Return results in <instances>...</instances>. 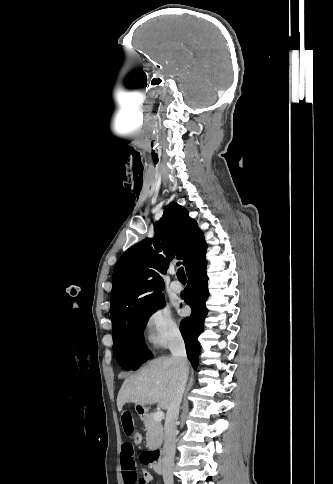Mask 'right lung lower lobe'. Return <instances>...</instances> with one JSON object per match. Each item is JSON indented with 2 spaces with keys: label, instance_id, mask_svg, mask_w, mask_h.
<instances>
[{
  "label": "right lung lower lobe",
  "instance_id": "1",
  "mask_svg": "<svg viewBox=\"0 0 333 484\" xmlns=\"http://www.w3.org/2000/svg\"><path fill=\"white\" fill-rule=\"evenodd\" d=\"M206 265L207 261L205 259L187 273L189 280L184 301L191 307L192 313L190 317L182 320L180 324L187 356L194 369H197L199 364L200 345L197 337L203 331L204 318L207 314L205 301L209 292L207 288Z\"/></svg>",
  "mask_w": 333,
  "mask_h": 484
}]
</instances>
